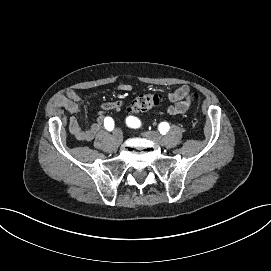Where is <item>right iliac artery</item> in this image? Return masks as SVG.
<instances>
[{
	"mask_svg": "<svg viewBox=\"0 0 271 271\" xmlns=\"http://www.w3.org/2000/svg\"><path fill=\"white\" fill-rule=\"evenodd\" d=\"M104 127L108 131H112L114 129V121L111 117H106L104 119Z\"/></svg>",
	"mask_w": 271,
	"mask_h": 271,
	"instance_id": "right-iliac-artery-1",
	"label": "right iliac artery"
}]
</instances>
